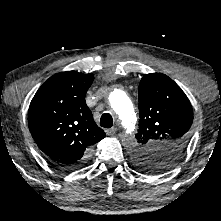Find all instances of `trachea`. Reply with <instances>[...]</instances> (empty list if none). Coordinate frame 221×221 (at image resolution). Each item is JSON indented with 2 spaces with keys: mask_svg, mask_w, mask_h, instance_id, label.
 <instances>
[{
  "mask_svg": "<svg viewBox=\"0 0 221 221\" xmlns=\"http://www.w3.org/2000/svg\"><path fill=\"white\" fill-rule=\"evenodd\" d=\"M113 125V118L109 113H104L100 119V126L103 128H111Z\"/></svg>",
  "mask_w": 221,
  "mask_h": 221,
  "instance_id": "1",
  "label": "trachea"
}]
</instances>
